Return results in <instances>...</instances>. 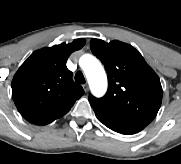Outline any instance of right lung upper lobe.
<instances>
[{"instance_id":"cb5924a9","label":"right lung upper lobe","mask_w":181,"mask_h":164,"mask_svg":"<svg viewBox=\"0 0 181 164\" xmlns=\"http://www.w3.org/2000/svg\"><path fill=\"white\" fill-rule=\"evenodd\" d=\"M86 40L76 39L33 52L12 80V97L20 114L30 123L45 125L65 115L84 90L73 82L66 67L70 54Z\"/></svg>"}]
</instances>
